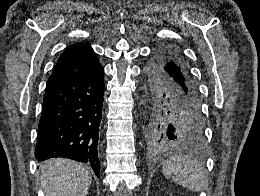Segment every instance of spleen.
Listing matches in <instances>:
<instances>
[{
	"mask_svg": "<svg viewBox=\"0 0 260 196\" xmlns=\"http://www.w3.org/2000/svg\"><path fill=\"white\" fill-rule=\"evenodd\" d=\"M162 172L165 178H171L173 182L191 192H200L207 188L203 164L198 160H191L188 156H176L173 160H165Z\"/></svg>",
	"mask_w": 260,
	"mask_h": 196,
	"instance_id": "spleen-1",
	"label": "spleen"
}]
</instances>
